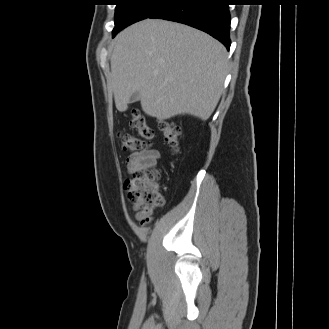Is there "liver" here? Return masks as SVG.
<instances>
[{
  "label": "liver",
  "mask_w": 329,
  "mask_h": 329,
  "mask_svg": "<svg viewBox=\"0 0 329 329\" xmlns=\"http://www.w3.org/2000/svg\"><path fill=\"white\" fill-rule=\"evenodd\" d=\"M227 51L210 35L176 22L146 19L121 31L111 56L110 86L118 111L138 91L157 119H208L223 91Z\"/></svg>",
  "instance_id": "liver-1"
}]
</instances>
